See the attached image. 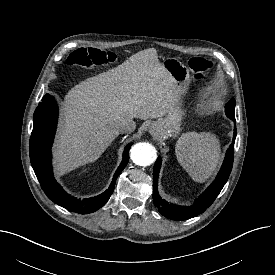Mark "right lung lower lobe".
I'll use <instances>...</instances> for the list:
<instances>
[{"mask_svg": "<svg viewBox=\"0 0 275 275\" xmlns=\"http://www.w3.org/2000/svg\"><path fill=\"white\" fill-rule=\"evenodd\" d=\"M58 118V108L52 96L46 94L36 108L33 116V131L30 137L29 152L33 170L47 197L54 203L72 212L88 214L98 210L113 193L116 179L129 161V149L125 147L123 160L115 172L109 188L102 194L80 200L69 196L53 177L51 165V146Z\"/></svg>", "mask_w": 275, "mask_h": 275, "instance_id": "1", "label": "right lung lower lobe"}]
</instances>
